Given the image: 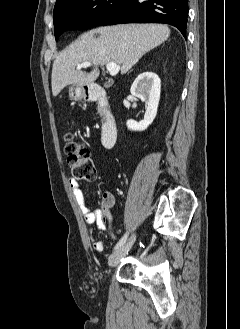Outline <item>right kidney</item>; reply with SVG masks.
Segmentation results:
<instances>
[{"label": "right kidney", "instance_id": "1", "mask_svg": "<svg viewBox=\"0 0 240 329\" xmlns=\"http://www.w3.org/2000/svg\"><path fill=\"white\" fill-rule=\"evenodd\" d=\"M161 81L157 74L153 72H144L140 74L133 82L130 92L145 102L147 109L144 119L136 122L132 119L127 120V127L133 131H143L153 122L156 117L158 104L160 100Z\"/></svg>", "mask_w": 240, "mask_h": 329}]
</instances>
